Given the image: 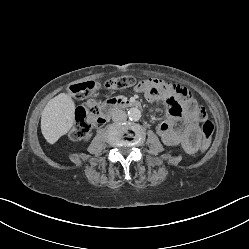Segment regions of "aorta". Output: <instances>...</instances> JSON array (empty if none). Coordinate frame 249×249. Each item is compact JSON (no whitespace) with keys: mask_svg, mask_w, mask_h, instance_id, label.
<instances>
[{"mask_svg":"<svg viewBox=\"0 0 249 249\" xmlns=\"http://www.w3.org/2000/svg\"><path fill=\"white\" fill-rule=\"evenodd\" d=\"M127 114L129 119L134 121L139 120L141 117V112L138 108H130Z\"/></svg>","mask_w":249,"mask_h":249,"instance_id":"1","label":"aorta"}]
</instances>
